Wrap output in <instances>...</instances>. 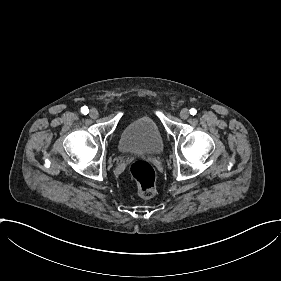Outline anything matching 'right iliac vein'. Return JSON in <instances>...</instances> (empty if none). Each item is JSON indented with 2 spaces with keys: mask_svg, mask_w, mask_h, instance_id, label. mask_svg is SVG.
Segmentation results:
<instances>
[{
  "mask_svg": "<svg viewBox=\"0 0 281 281\" xmlns=\"http://www.w3.org/2000/svg\"><path fill=\"white\" fill-rule=\"evenodd\" d=\"M98 114H99V111H98V109H96V108H93V109H91V111H90V117L91 118H96L97 116H98Z\"/></svg>",
  "mask_w": 281,
  "mask_h": 281,
  "instance_id": "obj_1",
  "label": "right iliac vein"
}]
</instances>
